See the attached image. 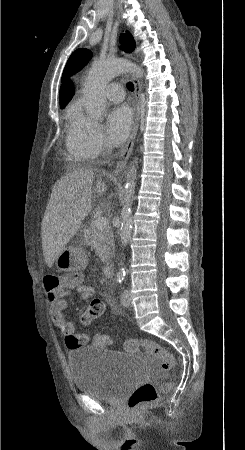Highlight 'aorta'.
<instances>
[{
    "mask_svg": "<svg viewBox=\"0 0 245 450\" xmlns=\"http://www.w3.org/2000/svg\"><path fill=\"white\" fill-rule=\"evenodd\" d=\"M123 72H132L137 77L143 76L142 69L127 59H113L104 62H95L87 76L84 85V102L87 113L94 119L100 118L105 111V87L115 76ZM136 170L133 165L127 173L125 184V197L121 211L120 239L123 247L127 246L131 239L132 217L131 206L134 200L136 186ZM125 269L120 270V275H125Z\"/></svg>",
    "mask_w": 245,
    "mask_h": 450,
    "instance_id": "aorta-1",
    "label": "aorta"
}]
</instances>
